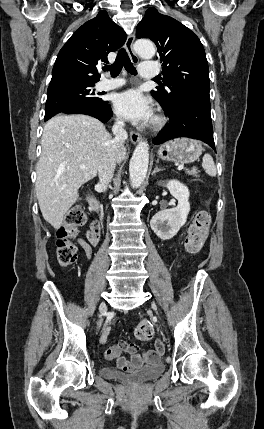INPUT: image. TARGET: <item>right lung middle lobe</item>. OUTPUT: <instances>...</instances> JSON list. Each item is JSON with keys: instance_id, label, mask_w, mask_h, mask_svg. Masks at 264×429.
I'll return each instance as SVG.
<instances>
[{"instance_id": "dd1d6c3e", "label": "right lung middle lobe", "mask_w": 264, "mask_h": 429, "mask_svg": "<svg viewBox=\"0 0 264 429\" xmlns=\"http://www.w3.org/2000/svg\"><path fill=\"white\" fill-rule=\"evenodd\" d=\"M94 85L95 84H66L48 88L45 121L72 106H102L104 101L94 92Z\"/></svg>"}]
</instances>
